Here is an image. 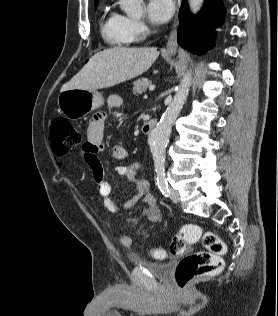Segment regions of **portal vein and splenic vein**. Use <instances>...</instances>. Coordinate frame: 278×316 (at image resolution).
Returning a JSON list of instances; mask_svg holds the SVG:
<instances>
[{"mask_svg":"<svg viewBox=\"0 0 278 316\" xmlns=\"http://www.w3.org/2000/svg\"><path fill=\"white\" fill-rule=\"evenodd\" d=\"M155 87H156V86H155L154 84H152V85L149 86V90H150V91H153V90L155 89Z\"/></svg>","mask_w":278,"mask_h":316,"instance_id":"portal-vein-and-splenic-vein-1","label":"portal vein and splenic vein"}]
</instances>
